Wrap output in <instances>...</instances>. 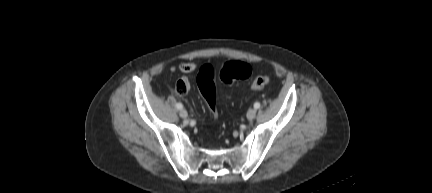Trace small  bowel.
<instances>
[{"instance_id":"small-bowel-1","label":"small bowel","mask_w":432,"mask_h":193,"mask_svg":"<svg viewBox=\"0 0 432 193\" xmlns=\"http://www.w3.org/2000/svg\"><path fill=\"white\" fill-rule=\"evenodd\" d=\"M196 65L193 62H183L179 65V70L183 73H191L195 70ZM189 87V79L185 76L180 79L176 84V89L179 93L183 94ZM180 89H183L181 91Z\"/></svg>"}]
</instances>
